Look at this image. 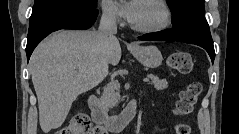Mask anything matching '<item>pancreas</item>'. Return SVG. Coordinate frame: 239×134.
I'll list each match as a JSON object with an SVG mask.
<instances>
[{
  "mask_svg": "<svg viewBox=\"0 0 239 134\" xmlns=\"http://www.w3.org/2000/svg\"><path fill=\"white\" fill-rule=\"evenodd\" d=\"M151 80V84L156 90H165L168 88V82L166 80H160L157 76L149 74L147 76ZM120 85L118 82H110L104 89L101 101L107 108H113L120 97L119 93Z\"/></svg>",
  "mask_w": 239,
  "mask_h": 134,
  "instance_id": "obj_1",
  "label": "pancreas"
}]
</instances>
